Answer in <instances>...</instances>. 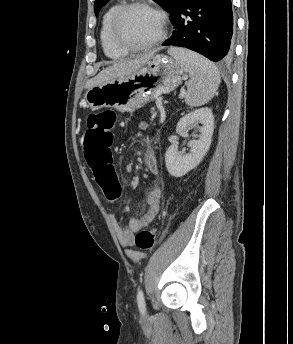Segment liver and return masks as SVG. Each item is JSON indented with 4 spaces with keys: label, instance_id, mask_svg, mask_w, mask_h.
Instances as JSON below:
<instances>
[{
    "label": "liver",
    "instance_id": "1",
    "mask_svg": "<svg viewBox=\"0 0 293 344\" xmlns=\"http://www.w3.org/2000/svg\"><path fill=\"white\" fill-rule=\"evenodd\" d=\"M155 54L154 51L144 53L134 59H125L114 62L112 65L104 68L95 77L89 79L85 85L86 89L99 86L101 84L113 81L117 78H123L140 69Z\"/></svg>",
    "mask_w": 293,
    "mask_h": 344
}]
</instances>
